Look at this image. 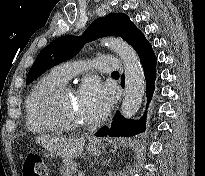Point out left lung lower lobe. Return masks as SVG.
Returning a JSON list of instances; mask_svg holds the SVG:
<instances>
[{"label": "left lung lower lobe", "mask_w": 205, "mask_h": 176, "mask_svg": "<svg viewBox=\"0 0 205 176\" xmlns=\"http://www.w3.org/2000/svg\"><path fill=\"white\" fill-rule=\"evenodd\" d=\"M128 43L134 48L140 58L146 79L147 100L149 103L154 91L156 78V56L151 44L138 28L132 32ZM122 86H124V80H122ZM145 117L146 114L140 121H134L132 119H125L120 112L117 111L111 123L108 126L102 127L95 135L111 137L134 136L144 132Z\"/></svg>", "instance_id": "left-lung-lower-lobe-1"}]
</instances>
